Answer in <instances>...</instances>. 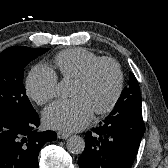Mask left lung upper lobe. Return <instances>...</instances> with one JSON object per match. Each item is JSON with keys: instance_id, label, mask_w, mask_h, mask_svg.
Returning a JSON list of instances; mask_svg holds the SVG:
<instances>
[{"instance_id": "1", "label": "left lung upper lobe", "mask_w": 168, "mask_h": 168, "mask_svg": "<svg viewBox=\"0 0 168 168\" xmlns=\"http://www.w3.org/2000/svg\"><path fill=\"white\" fill-rule=\"evenodd\" d=\"M138 82L131 72L129 73V81L127 87L122 91L112 112L121 111L127 108L141 109V96Z\"/></svg>"}]
</instances>
